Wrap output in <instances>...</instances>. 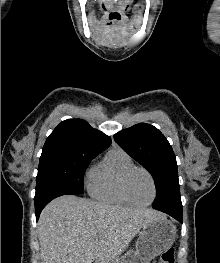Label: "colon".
Here are the masks:
<instances>
[{"instance_id":"1","label":"colon","mask_w":220,"mask_h":263,"mask_svg":"<svg viewBox=\"0 0 220 263\" xmlns=\"http://www.w3.org/2000/svg\"><path fill=\"white\" fill-rule=\"evenodd\" d=\"M175 261V251L173 248H167L163 251L160 257L159 263H174Z\"/></svg>"}]
</instances>
